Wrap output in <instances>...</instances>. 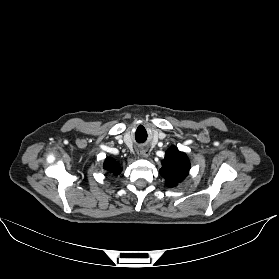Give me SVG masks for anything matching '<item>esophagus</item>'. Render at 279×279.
<instances>
[{"mask_svg": "<svg viewBox=\"0 0 279 279\" xmlns=\"http://www.w3.org/2000/svg\"><path fill=\"white\" fill-rule=\"evenodd\" d=\"M137 154L140 158H146L148 156V151L147 150H138Z\"/></svg>", "mask_w": 279, "mask_h": 279, "instance_id": "esophagus-1", "label": "esophagus"}]
</instances>
